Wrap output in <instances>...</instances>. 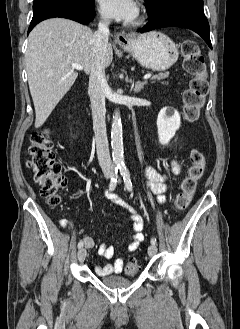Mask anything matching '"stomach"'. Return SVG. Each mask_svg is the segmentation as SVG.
<instances>
[{"label":"stomach","instance_id":"obj_1","mask_svg":"<svg viewBox=\"0 0 240 329\" xmlns=\"http://www.w3.org/2000/svg\"><path fill=\"white\" fill-rule=\"evenodd\" d=\"M122 48L129 52L140 65L155 71L170 68L178 59L175 43L165 34L156 31L133 37Z\"/></svg>","mask_w":240,"mask_h":329}]
</instances>
